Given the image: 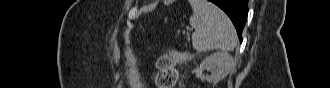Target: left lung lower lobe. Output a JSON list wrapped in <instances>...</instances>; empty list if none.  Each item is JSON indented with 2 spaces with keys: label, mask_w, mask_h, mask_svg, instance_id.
<instances>
[{
  "label": "left lung lower lobe",
  "mask_w": 330,
  "mask_h": 88,
  "mask_svg": "<svg viewBox=\"0 0 330 88\" xmlns=\"http://www.w3.org/2000/svg\"><path fill=\"white\" fill-rule=\"evenodd\" d=\"M219 6L232 20L240 42L248 14V0H209Z\"/></svg>",
  "instance_id": "0a47b994"
}]
</instances>
